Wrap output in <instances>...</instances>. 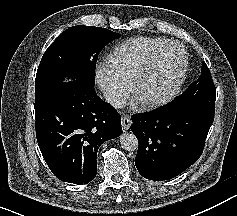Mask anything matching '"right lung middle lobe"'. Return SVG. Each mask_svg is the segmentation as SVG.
<instances>
[{
    "label": "right lung middle lobe",
    "mask_w": 237,
    "mask_h": 216,
    "mask_svg": "<svg viewBox=\"0 0 237 216\" xmlns=\"http://www.w3.org/2000/svg\"><path fill=\"white\" fill-rule=\"evenodd\" d=\"M118 33L105 28L78 25L62 32L45 51L35 79V103L67 84L82 82L94 87L98 54ZM73 82H63L64 77Z\"/></svg>",
    "instance_id": "obj_1"
}]
</instances>
